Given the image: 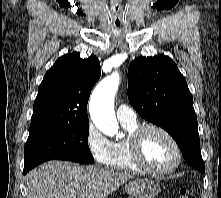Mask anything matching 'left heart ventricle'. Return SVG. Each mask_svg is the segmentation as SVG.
Returning <instances> with one entry per match:
<instances>
[{
	"mask_svg": "<svg viewBox=\"0 0 221 198\" xmlns=\"http://www.w3.org/2000/svg\"><path fill=\"white\" fill-rule=\"evenodd\" d=\"M143 156L148 165L156 169L171 167L176 160L175 149L162 133L151 130L143 139Z\"/></svg>",
	"mask_w": 221,
	"mask_h": 198,
	"instance_id": "b2bd125f",
	"label": "left heart ventricle"
}]
</instances>
